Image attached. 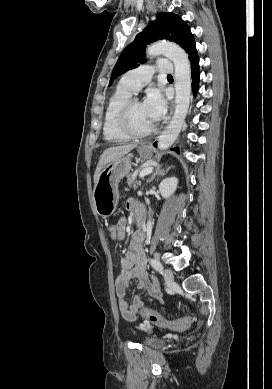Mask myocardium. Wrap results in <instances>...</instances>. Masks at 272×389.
<instances>
[{"label": "myocardium", "instance_id": "1", "mask_svg": "<svg viewBox=\"0 0 272 389\" xmlns=\"http://www.w3.org/2000/svg\"><path fill=\"white\" fill-rule=\"evenodd\" d=\"M140 102L138 98L131 97L126 101V103L121 108L118 115V125L123 133H125L129 138L141 139L150 136L156 130V127L153 125L146 131L138 132L132 126L131 121V111L135 103Z\"/></svg>", "mask_w": 272, "mask_h": 389}]
</instances>
